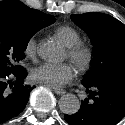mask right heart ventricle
I'll return each instance as SVG.
<instances>
[{
	"mask_svg": "<svg viewBox=\"0 0 125 125\" xmlns=\"http://www.w3.org/2000/svg\"><path fill=\"white\" fill-rule=\"evenodd\" d=\"M56 34L66 47L79 43L81 39L79 33L69 26H61L57 28Z\"/></svg>",
	"mask_w": 125,
	"mask_h": 125,
	"instance_id": "right-heart-ventricle-1",
	"label": "right heart ventricle"
}]
</instances>
